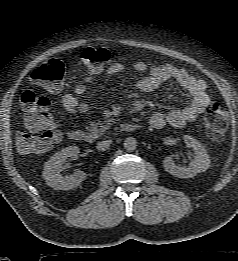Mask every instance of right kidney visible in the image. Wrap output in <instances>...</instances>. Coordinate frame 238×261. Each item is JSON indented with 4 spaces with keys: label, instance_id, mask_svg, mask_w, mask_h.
<instances>
[{
    "label": "right kidney",
    "instance_id": "obj_1",
    "mask_svg": "<svg viewBox=\"0 0 238 261\" xmlns=\"http://www.w3.org/2000/svg\"><path fill=\"white\" fill-rule=\"evenodd\" d=\"M80 153L78 146H69L55 153L45 163L42 176L46 184L55 190H71L78 187L85 179L86 173L75 171L73 174L63 176L62 164L68 159H77Z\"/></svg>",
    "mask_w": 238,
    "mask_h": 261
}]
</instances>
